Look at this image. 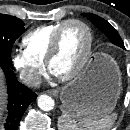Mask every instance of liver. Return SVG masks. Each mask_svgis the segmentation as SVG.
<instances>
[{"label":"liver","instance_id":"liver-1","mask_svg":"<svg viewBox=\"0 0 130 130\" xmlns=\"http://www.w3.org/2000/svg\"><path fill=\"white\" fill-rule=\"evenodd\" d=\"M5 100H6L5 79H4L3 72L0 68V123H1L2 113L5 108Z\"/></svg>","mask_w":130,"mask_h":130}]
</instances>
